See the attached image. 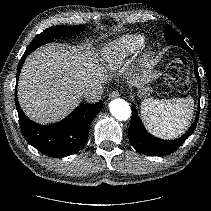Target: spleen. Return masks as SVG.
Here are the masks:
<instances>
[{"label": "spleen", "mask_w": 211, "mask_h": 211, "mask_svg": "<svg viewBox=\"0 0 211 211\" xmlns=\"http://www.w3.org/2000/svg\"><path fill=\"white\" fill-rule=\"evenodd\" d=\"M191 97L173 99H145L141 103V117L146 128L155 136L172 139L183 134L193 117Z\"/></svg>", "instance_id": "spleen-1"}]
</instances>
